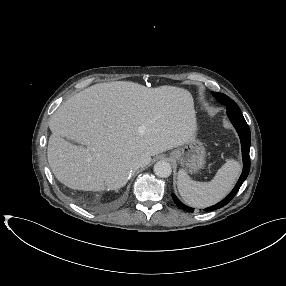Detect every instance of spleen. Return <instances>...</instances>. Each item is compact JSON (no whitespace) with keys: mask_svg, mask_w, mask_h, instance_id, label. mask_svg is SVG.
I'll return each instance as SVG.
<instances>
[{"mask_svg":"<svg viewBox=\"0 0 286 286\" xmlns=\"http://www.w3.org/2000/svg\"><path fill=\"white\" fill-rule=\"evenodd\" d=\"M240 172V163L233 159L226 160L210 182L194 181L181 169L178 172V191L187 205L209 207L221 201L232 190Z\"/></svg>","mask_w":286,"mask_h":286,"instance_id":"1","label":"spleen"}]
</instances>
